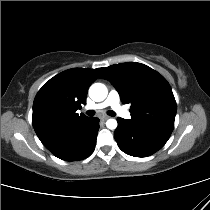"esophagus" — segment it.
<instances>
[{"label": "esophagus", "mask_w": 210, "mask_h": 210, "mask_svg": "<svg viewBox=\"0 0 210 210\" xmlns=\"http://www.w3.org/2000/svg\"><path fill=\"white\" fill-rule=\"evenodd\" d=\"M100 119L105 121V120L109 119V116L103 115V116L100 117Z\"/></svg>", "instance_id": "1"}]
</instances>
